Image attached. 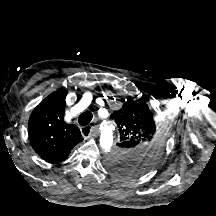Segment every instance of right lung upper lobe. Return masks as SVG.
I'll use <instances>...</instances> for the list:
<instances>
[{
    "label": "right lung upper lobe",
    "instance_id": "obj_1",
    "mask_svg": "<svg viewBox=\"0 0 216 216\" xmlns=\"http://www.w3.org/2000/svg\"><path fill=\"white\" fill-rule=\"evenodd\" d=\"M67 91L59 89L47 96L32 112L28 134L36 153L48 163L64 161L83 140L79 128L64 121Z\"/></svg>",
    "mask_w": 216,
    "mask_h": 216
}]
</instances>
